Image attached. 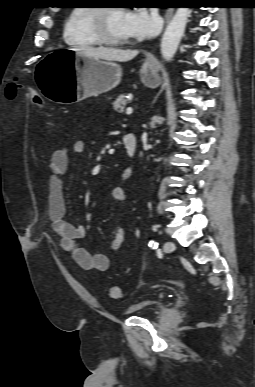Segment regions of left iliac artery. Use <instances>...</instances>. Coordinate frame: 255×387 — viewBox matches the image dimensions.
<instances>
[{
	"label": "left iliac artery",
	"instance_id": "1",
	"mask_svg": "<svg viewBox=\"0 0 255 387\" xmlns=\"http://www.w3.org/2000/svg\"><path fill=\"white\" fill-rule=\"evenodd\" d=\"M149 247H151L152 249H157L158 243L156 241L151 240L149 243Z\"/></svg>",
	"mask_w": 255,
	"mask_h": 387
}]
</instances>
